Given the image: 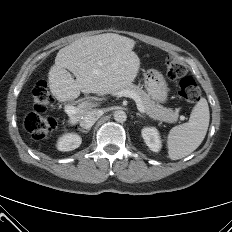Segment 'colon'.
Masks as SVG:
<instances>
[{
  "label": "colon",
  "mask_w": 232,
  "mask_h": 232,
  "mask_svg": "<svg viewBox=\"0 0 232 232\" xmlns=\"http://www.w3.org/2000/svg\"><path fill=\"white\" fill-rule=\"evenodd\" d=\"M165 68L170 79L181 78L178 91L181 99L190 103L197 102L200 99V88L192 77L186 75L187 69L183 62L170 55L165 59ZM32 98L34 112L26 116L24 126L34 139L43 140L48 138L55 128L54 119L43 115L54 105L55 100L44 81H40L33 86Z\"/></svg>",
  "instance_id": "colon-1"
}]
</instances>
